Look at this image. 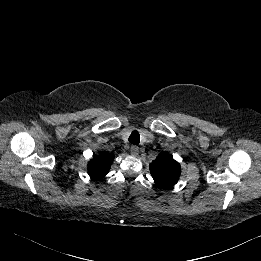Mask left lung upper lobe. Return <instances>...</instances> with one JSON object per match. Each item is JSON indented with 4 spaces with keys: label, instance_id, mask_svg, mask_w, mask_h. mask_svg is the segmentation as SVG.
Here are the masks:
<instances>
[{
    "label": "left lung upper lobe",
    "instance_id": "1",
    "mask_svg": "<svg viewBox=\"0 0 261 261\" xmlns=\"http://www.w3.org/2000/svg\"><path fill=\"white\" fill-rule=\"evenodd\" d=\"M151 175L157 186L169 188L177 183L181 167L167 152L159 156L150 164Z\"/></svg>",
    "mask_w": 261,
    "mask_h": 261
}]
</instances>
